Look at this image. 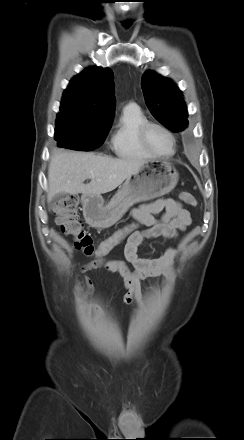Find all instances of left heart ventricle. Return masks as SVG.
Returning <instances> with one entry per match:
<instances>
[{
    "instance_id": "b2bd125f",
    "label": "left heart ventricle",
    "mask_w": 244,
    "mask_h": 440,
    "mask_svg": "<svg viewBox=\"0 0 244 440\" xmlns=\"http://www.w3.org/2000/svg\"><path fill=\"white\" fill-rule=\"evenodd\" d=\"M147 142L151 150L157 154H170L173 150L171 138L159 128H151L148 131Z\"/></svg>"
}]
</instances>
